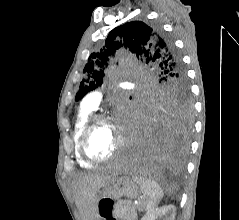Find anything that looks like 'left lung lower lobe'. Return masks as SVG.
<instances>
[{
	"instance_id": "0a47b994",
	"label": "left lung lower lobe",
	"mask_w": 239,
	"mask_h": 220,
	"mask_svg": "<svg viewBox=\"0 0 239 220\" xmlns=\"http://www.w3.org/2000/svg\"><path fill=\"white\" fill-rule=\"evenodd\" d=\"M139 141L129 158L136 168L151 172L181 165L188 149L190 126L167 111L145 109L138 116Z\"/></svg>"
}]
</instances>
